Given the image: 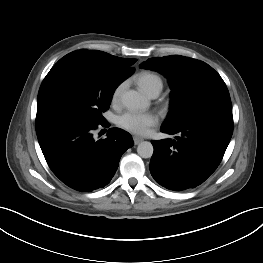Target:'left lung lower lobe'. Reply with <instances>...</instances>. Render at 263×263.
Segmentation results:
<instances>
[{"instance_id": "0a47b994", "label": "left lung lower lobe", "mask_w": 263, "mask_h": 263, "mask_svg": "<svg viewBox=\"0 0 263 263\" xmlns=\"http://www.w3.org/2000/svg\"><path fill=\"white\" fill-rule=\"evenodd\" d=\"M161 131L174 140L152 141L150 172L161 186L182 191L202 184L218 167L233 132V119L211 115Z\"/></svg>"}]
</instances>
